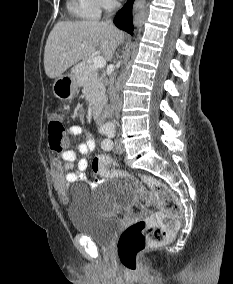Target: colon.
Segmentation results:
<instances>
[{"instance_id":"colon-1","label":"colon","mask_w":233,"mask_h":284,"mask_svg":"<svg viewBox=\"0 0 233 284\" xmlns=\"http://www.w3.org/2000/svg\"><path fill=\"white\" fill-rule=\"evenodd\" d=\"M48 138L50 148L62 152L67 145L64 125L56 118L48 123ZM94 173L102 179L121 178L130 182L139 193L147 195L146 188L151 190L150 199H156L159 211L148 220L132 223L121 233L118 244V257L122 266L128 271L137 269L138 255L151 244H161L169 239L178 227L182 208L173 191L160 180L148 176L130 174L106 155L94 157L91 164Z\"/></svg>"}]
</instances>
